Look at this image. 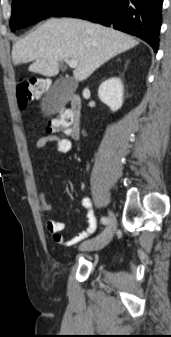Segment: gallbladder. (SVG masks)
Returning a JSON list of instances; mask_svg holds the SVG:
<instances>
[{"instance_id":"obj_1","label":"gallbladder","mask_w":171,"mask_h":337,"mask_svg":"<svg viewBox=\"0 0 171 337\" xmlns=\"http://www.w3.org/2000/svg\"><path fill=\"white\" fill-rule=\"evenodd\" d=\"M75 84L68 78H59L48 91L42 101V108L46 114L55 113L65 105L75 91Z\"/></svg>"}]
</instances>
